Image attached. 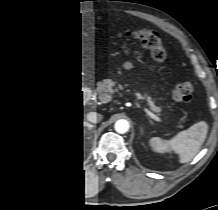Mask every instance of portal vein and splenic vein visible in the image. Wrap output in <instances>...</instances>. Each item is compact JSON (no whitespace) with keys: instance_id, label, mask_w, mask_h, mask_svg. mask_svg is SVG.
Listing matches in <instances>:
<instances>
[{"instance_id":"obj_1","label":"portal vein and splenic vein","mask_w":218,"mask_h":210,"mask_svg":"<svg viewBox=\"0 0 218 210\" xmlns=\"http://www.w3.org/2000/svg\"><path fill=\"white\" fill-rule=\"evenodd\" d=\"M99 100L102 103H106L107 102V96L106 95H100L99 96ZM139 106V105H138ZM143 110L145 111V113L152 118L153 120L157 121L158 123H162V120L156 116L154 113H152L150 110H148L147 108H143Z\"/></svg>"}]
</instances>
